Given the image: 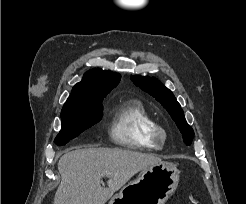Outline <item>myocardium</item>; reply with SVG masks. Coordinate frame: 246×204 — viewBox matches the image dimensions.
<instances>
[{"instance_id": "f54148a6", "label": "myocardium", "mask_w": 246, "mask_h": 204, "mask_svg": "<svg viewBox=\"0 0 246 204\" xmlns=\"http://www.w3.org/2000/svg\"><path fill=\"white\" fill-rule=\"evenodd\" d=\"M152 139L154 142L163 145L167 140V131L160 125H157L152 132Z\"/></svg>"}]
</instances>
